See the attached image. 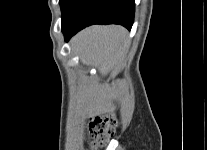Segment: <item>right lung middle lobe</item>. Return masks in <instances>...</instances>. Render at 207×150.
Segmentation results:
<instances>
[{
    "label": "right lung middle lobe",
    "mask_w": 207,
    "mask_h": 150,
    "mask_svg": "<svg viewBox=\"0 0 207 150\" xmlns=\"http://www.w3.org/2000/svg\"><path fill=\"white\" fill-rule=\"evenodd\" d=\"M71 3L72 0H60L59 4L61 6V11L63 12Z\"/></svg>",
    "instance_id": "right-lung-middle-lobe-1"
}]
</instances>
